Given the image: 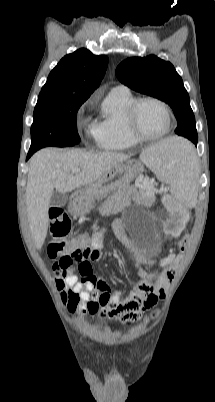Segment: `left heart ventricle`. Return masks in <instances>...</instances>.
<instances>
[{"mask_svg":"<svg viewBox=\"0 0 215 402\" xmlns=\"http://www.w3.org/2000/svg\"><path fill=\"white\" fill-rule=\"evenodd\" d=\"M138 126L147 135L162 133L167 128L165 111L156 103H143L138 111Z\"/></svg>","mask_w":215,"mask_h":402,"instance_id":"obj_1","label":"left heart ventricle"}]
</instances>
